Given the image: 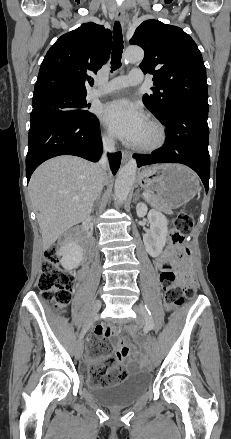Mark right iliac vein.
<instances>
[{
	"instance_id": "1",
	"label": "right iliac vein",
	"mask_w": 231,
	"mask_h": 439,
	"mask_svg": "<svg viewBox=\"0 0 231 439\" xmlns=\"http://www.w3.org/2000/svg\"><path fill=\"white\" fill-rule=\"evenodd\" d=\"M101 307V302L99 300H97L92 308L91 311V316L90 318L86 321L84 328H88V326L92 323V321H97L99 320V315H98V311ZM83 348H84V342L82 337L79 339L77 345H76V349H75V356L77 359H80L82 357L83 354Z\"/></svg>"
}]
</instances>
